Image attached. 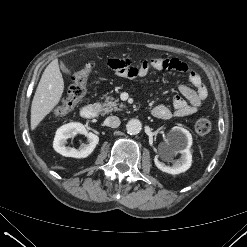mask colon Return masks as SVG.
I'll return each instance as SVG.
<instances>
[{
    "label": "colon",
    "mask_w": 247,
    "mask_h": 247,
    "mask_svg": "<svg viewBox=\"0 0 247 247\" xmlns=\"http://www.w3.org/2000/svg\"><path fill=\"white\" fill-rule=\"evenodd\" d=\"M92 68V64H87L72 76L68 95L55 109V114L65 115L69 113L82 100L86 93V84ZM211 128L212 124L208 118L200 117L196 119L194 129L199 135L208 134Z\"/></svg>",
    "instance_id": "5ec220e1"
}]
</instances>
